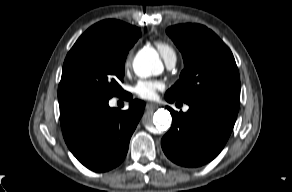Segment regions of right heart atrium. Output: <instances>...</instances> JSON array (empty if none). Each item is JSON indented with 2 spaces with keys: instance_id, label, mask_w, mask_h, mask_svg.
<instances>
[{
  "instance_id": "right-heart-atrium-1",
  "label": "right heart atrium",
  "mask_w": 292,
  "mask_h": 192,
  "mask_svg": "<svg viewBox=\"0 0 292 192\" xmlns=\"http://www.w3.org/2000/svg\"><path fill=\"white\" fill-rule=\"evenodd\" d=\"M131 62H132V51H129L128 54L126 55V57L124 59V63H123L125 70L130 68Z\"/></svg>"
}]
</instances>
